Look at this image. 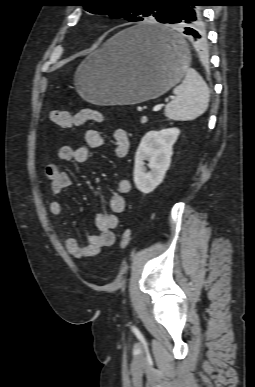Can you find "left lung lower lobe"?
I'll return each mask as SVG.
<instances>
[{
    "label": "left lung lower lobe",
    "mask_w": 255,
    "mask_h": 387,
    "mask_svg": "<svg viewBox=\"0 0 255 387\" xmlns=\"http://www.w3.org/2000/svg\"><path fill=\"white\" fill-rule=\"evenodd\" d=\"M207 5L204 0H182L174 2L169 9L164 23L180 24L183 33L189 35L195 45L204 49L206 46L205 34L201 27L202 15L199 6ZM142 35L151 42L160 44L168 49L174 48V41L170 34L163 30L151 29L142 32Z\"/></svg>",
    "instance_id": "0a47b994"
}]
</instances>
